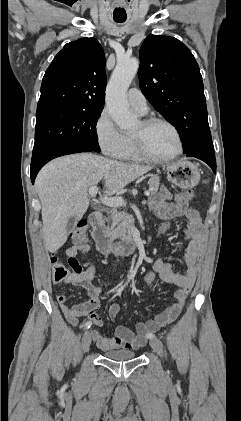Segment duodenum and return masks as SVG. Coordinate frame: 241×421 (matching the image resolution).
<instances>
[{"instance_id":"duodenum-1","label":"duodenum","mask_w":241,"mask_h":421,"mask_svg":"<svg viewBox=\"0 0 241 421\" xmlns=\"http://www.w3.org/2000/svg\"><path fill=\"white\" fill-rule=\"evenodd\" d=\"M90 223L93 227V238L96 242V247L102 254L129 255L136 251L137 242L129 236L124 239H114L107 232L101 212H93L90 216Z\"/></svg>"}]
</instances>
